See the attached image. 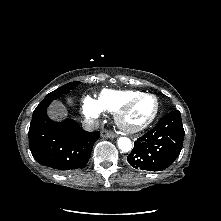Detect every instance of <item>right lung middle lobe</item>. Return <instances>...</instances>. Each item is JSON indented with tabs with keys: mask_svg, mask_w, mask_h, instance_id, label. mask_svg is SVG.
I'll return each mask as SVG.
<instances>
[{
	"mask_svg": "<svg viewBox=\"0 0 221 221\" xmlns=\"http://www.w3.org/2000/svg\"><path fill=\"white\" fill-rule=\"evenodd\" d=\"M80 84L79 81L70 82L68 84H65L64 86L54 90L53 92L49 93L41 103L47 102V101H53L54 99H57L61 97L63 94L68 93L70 90L74 89L76 86Z\"/></svg>",
	"mask_w": 221,
	"mask_h": 221,
	"instance_id": "1",
	"label": "right lung middle lobe"
}]
</instances>
